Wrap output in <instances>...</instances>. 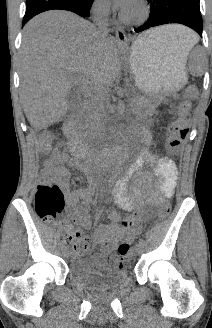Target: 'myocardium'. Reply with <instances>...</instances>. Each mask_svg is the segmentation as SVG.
Wrapping results in <instances>:
<instances>
[{
	"label": "myocardium",
	"instance_id": "f54148a6",
	"mask_svg": "<svg viewBox=\"0 0 212 328\" xmlns=\"http://www.w3.org/2000/svg\"><path fill=\"white\" fill-rule=\"evenodd\" d=\"M136 9V13H131L129 10L124 11L122 20L127 24H139L143 22L150 13V7L146 0H135L132 5Z\"/></svg>",
	"mask_w": 212,
	"mask_h": 328
}]
</instances>
